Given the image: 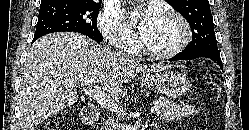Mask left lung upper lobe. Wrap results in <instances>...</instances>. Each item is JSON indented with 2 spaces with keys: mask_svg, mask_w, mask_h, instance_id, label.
<instances>
[{
  "mask_svg": "<svg viewBox=\"0 0 249 130\" xmlns=\"http://www.w3.org/2000/svg\"><path fill=\"white\" fill-rule=\"evenodd\" d=\"M189 23L192 42L184 51L219 54L208 0H166Z\"/></svg>",
  "mask_w": 249,
  "mask_h": 130,
  "instance_id": "1",
  "label": "left lung upper lobe"
}]
</instances>
